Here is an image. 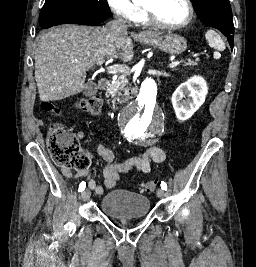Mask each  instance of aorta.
Segmentation results:
<instances>
[{"mask_svg": "<svg viewBox=\"0 0 256 267\" xmlns=\"http://www.w3.org/2000/svg\"><path fill=\"white\" fill-rule=\"evenodd\" d=\"M150 78V77H149ZM138 101H132L129 108H125L124 117H119V127H161L165 117H161L162 108L153 104L157 97L154 81H143ZM122 133H130V138H136V143H160L157 138L159 128H122Z\"/></svg>", "mask_w": 256, "mask_h": 267, "instance_id": "obj_1", "label": "aorta"}]
</instances>
